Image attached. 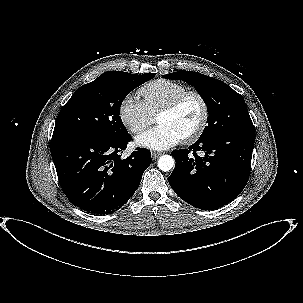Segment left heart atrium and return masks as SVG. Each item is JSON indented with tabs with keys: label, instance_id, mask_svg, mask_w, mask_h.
<instances>
[{
	"label": "left heart atrium",
	"instance_id": "left-heart-atrium-1",
	"mask_svg": "<svg viewBox=\"0 0 303 303\" xmlns=\"http://www.w3.org/2000/svg\"><path fill=\"white\" fill-rule=\"evenodd\" d=\"M181 139L179 133L169 125L158 124L140 134L136 138V143L153 150H165L178 144Z\"/></svg>",
	"mask_w": 303,
	"mask_h": 303
}]
</instances>
